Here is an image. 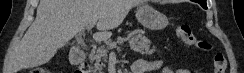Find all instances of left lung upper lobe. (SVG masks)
Listing matches in <instances>:
<instances>
[{"label":"left lung upper lobe","instance_id":"obj_1","mask_svg":"<svg viewBox=\"0 0 244 73\" xmlns=\"http://www.w3.org/2000/svg\"><path fill=\"white\" fill-rule=\"evenodd\" d=\"M195 2H198L203 8H207V5H206V0H203V4H201V0H196Z\"/></svg>","mask_w":244,"mask_h":73}]
</instances>
